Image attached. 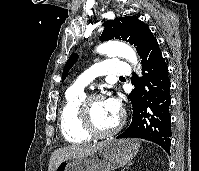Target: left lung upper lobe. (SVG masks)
I'll use <instances>...</instances> for the list:
<instances>
[{
    "mask_svg": "<svg viewBox=\"0 0 199 171\" xmlns=\"http://www.w3.org/2000/svg\"><path fill=\"white\" fill-rule=\"evenodd\" d=\"M103 25L104 30L99 38L101 41L122 39L133 44L140 56L156 40L148 26L140 21L137 16L118 17L106 21ZM77 58L78 56L75 53L70 56L64 67L62 80L66 78Z\"/></svg>",
    "mask_w": 199,
    "mask_h": 171,
    "instance_id": "1",
    "label": "left lung upper lobe"
}]
</instances>
